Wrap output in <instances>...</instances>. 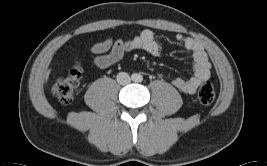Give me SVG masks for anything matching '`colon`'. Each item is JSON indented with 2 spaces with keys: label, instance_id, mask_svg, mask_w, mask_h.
<instances>
[{
  "label": "colon",
  "instance_id": "5ec220e1",
  "mask_svg": "<svg viewBox=\"0 0 267 166\" xmlns=\"http://www.w3.org/2000/svg\"><path fill=\"white\" fill-rule=\"evenodd\" d=\"M83 73V66L76 62L66 76L59 77L52 87L53 94L62 104H70L79 86ZM216 97L214 85L210 80H205L198 90V99L203 105H210Z\"/></svg>",
  "mask_w": 267,
  "mask_h": 166
}]
</instances>
